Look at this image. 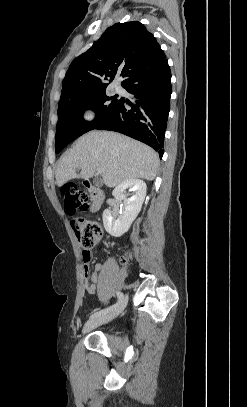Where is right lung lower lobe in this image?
Listing matches in <instances>:
<instances>
[{
    "mask_svg": "<svg viewBox=\"0 0 247 407\" xmlns=\"http://www.w3.org/2000/svg\"><path fill=\"white\" fill-rule=\"evenodd\" d=\"M123 88L134 95L135 103L121 98L117 107L94 129L123 133L151 146L162 158L171 97L168 60L134 73ZM125 103L131 106L130 110L125 108Z\"/></svg>",
    "mask_w": 247,
    "mask_h": 407,
    "instance_id": "98d812e1",
    "label": "right lung lower lobe"
}]
</instances>
